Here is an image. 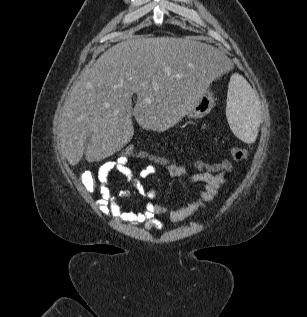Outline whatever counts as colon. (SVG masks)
Returning <instances> with one entry per match:
<instances>
[{
    "label": "colon",
    "instance_id": "5ec220e1",
    "mask_svg": "<svg viewBox=\"0 0 307 317\" xmlns=\"http://www.w3.org/2000/svg\"><path fill=\"white\" fill-rule=\"evenodd\" d=\"M230 155L237 163L244 164L249 160V153L243 148L232 147L230 149ZM117 159H123L129 163L132 159H138L148 162L149 165L151 164L163 168L172 164L179 165L175 159L153 154L130 144L123 145L117 150L116 160ZM190 165L200 172L212 174L227 175L231 170V164L228 161H223L221 163H209L197 160L190 162ZM81 182L88 192H93L97 188L98 184L96 177L90 171H86L82 174Z\"/></svg>",
    "mask_w": 307,
    "mask_h": 317
}]
</instances>
